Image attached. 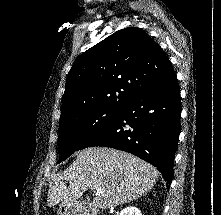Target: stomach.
<instances>
[{"label":"stomach","instance_id":"0dacf381","mask_svg":"<svg viewBox=\"0 0 221 215\" xmlns=\"http://www.w3.org/2000/svg\"><path fill=\"white\" fill-rule=\"evenodd\" d=\"M58 215H77L75 205L62 202L58 209Z\"/></svg>","mask_w":221,"mask_h":215}]
</instances>
